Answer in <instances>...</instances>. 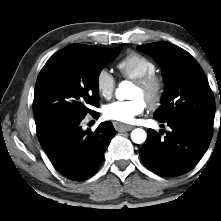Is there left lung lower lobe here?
<instances>
[{
  "instance_id": "obj_1",
  "label": "left lung lower lobe",
  "mask_w": 221,
  "mask_h": 221,
  "mask_svg": "<svg viewBox=\"0 0 221 221\" xmlns=\"http://www.w3.org/2000/svg\"><path fill=\"white\" fill-rule=\"evenodd\" d=\"M172 129L165 137L155 130L147 132L140 150L145 166L163 176L175 177L192 170L209 147L211 128L189 118L166 122Z\"/></svg>"
}]
</instances>
